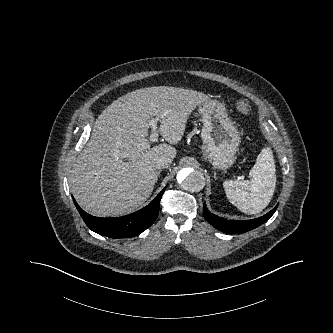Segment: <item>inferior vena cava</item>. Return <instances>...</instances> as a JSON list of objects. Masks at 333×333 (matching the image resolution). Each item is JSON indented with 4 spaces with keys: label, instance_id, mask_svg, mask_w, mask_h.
Listing matches in <instances>:
<instances>
[{
    "label": "inferior vena cava",
    "instance_id": "1",
    "mask_svg": "<svg viewBox=\"0 0 333 333\" xmlns=\"http://www.w3.org/2000/svg\"><path fill=\"white\" fill-rule=\"evenodd\" d=\"M171 163V160L166 157H161L155 160L154 166L157 169L167 168Z\"/></svg>",
    "mask_w": 333,
    "mask_h": 333
}]
</instances>
